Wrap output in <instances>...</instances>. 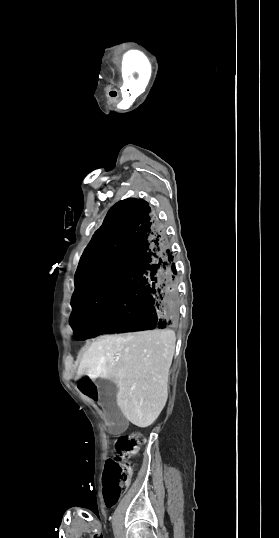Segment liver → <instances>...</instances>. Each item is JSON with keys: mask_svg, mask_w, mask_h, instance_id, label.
Here are the masks:
<instances>
[{"mask_svg": "<svg viewBox=\"0 0 279 538\" xmlns=\"http://www.w3.org/2000/svg\"><path fill=\"white\" fill-rule=\"evenodd\" d=\"M173 330H148L100 336L83 354L77 378L112 380L125 418L147 428L157 420L168 398V374L175 352Z\"/></svg>", "mask_w": 279, "mask_h": 538, "instance_id": "6515ba94", "label": "liver"}]
</instances>
